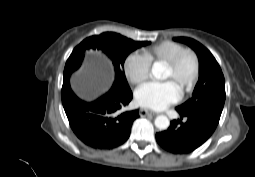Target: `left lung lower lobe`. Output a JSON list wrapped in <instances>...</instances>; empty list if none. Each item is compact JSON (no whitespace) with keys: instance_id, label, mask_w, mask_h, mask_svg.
Here are the masks:
<instances>
[{"instance_id":"obj_1","label":"left lung lower lobe","mask_w":255,"mask_h":177,"mask_svg":"<svg viewBox=\"0 0 255 177\" xmlns=\"http://www.w3.org/2000/svg\"><path fill=\"white\" fill-rule=\"evenodd\" d=\"M178 113L186 122L173 120L166 131L156 134V140L169 152L187 154L200 147L212 135L219 119L203 114Z\"/></svg>"}]
</instances>
